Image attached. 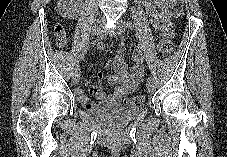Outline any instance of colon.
<instances>
[{
    "instance_id": "obj_1",
    "label": "colon",
    "mask_w": 227,
    "mask_h": 157,
    "mask_svg": "<svg viewBox=\"0 0 227 157\" xmlns=\"http://www.w3.org/2000/svg\"><path fill=\"white\" fill-rule=\"evenodd\" d=\"M171 12L174 17L179 18L183 12V0H171ZM54 35L56 39V43L59 47H63L66 40V33L64 28L57 24L54 27ZM159 54L161 56L169 55L173 50V43L170 40L169 35H164L158 45ZM146 98L143 95H135L125 101L128 105L141 106L145 103Z\"/></svg>"
}]
</instances>
